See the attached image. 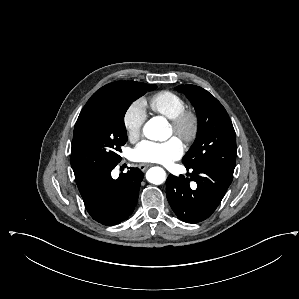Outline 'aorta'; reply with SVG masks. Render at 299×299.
Returning a JSON list of instances; mask_svg holds the SVG:
<instances>
[{"label": "aorta", "instance_id": "1", "mask_svg": "<svg viewBox=\"0 0 299 299\" xmlns=\"http://www.w3.org/2000/svg\"><path fill=\"white\" fill-rule=\"evenodd\" d=\"M146 138L155 141H164L169 138L170 129L165 118L156 116L151 118L143 127ZM148 182L160 185L166 180V173L161 167H152L146 173Z\"/></svg>", "mask_w": 299, "mask_h": 299}]
</instances>
